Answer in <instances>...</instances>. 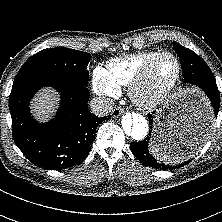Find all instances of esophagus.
Wrapping results in <instances>:
<instances>
[{
  "label": "esophagus",
  "instance_id": "1",
  "mask_svg": "<svg viewBox=\"0 0 222 222\" xmlns=\"http://www.w3.org/2000/svg\"><path fill=\"white\" fill-rule=\"evenodd\" d=\"M123 112H124V109L118 107L112 111V117L118 118Z\"/></svg>",
  "mask_w": 222,
  "mask_h": 222
}]
</instances>
